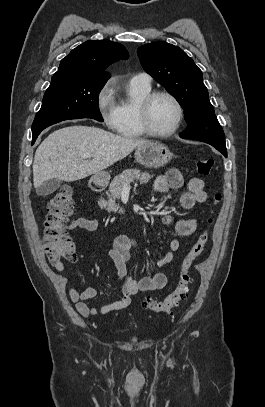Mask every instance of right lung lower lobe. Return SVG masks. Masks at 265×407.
<instances>
[{"label":"right lung lower lobe","mask_w":265,"mask_h":407,"mask_svg":"<svg viewBox=\"0 0 265 407\" xmlns=\"http://www.w3.org/2000/svg\"><path fill=\"white\" fill-rule=\"evenodd\" d=\"M35 140H36V138H35V137H33L32 144L35 142Z\"/></svg>","instance_id":"obj_1"}]
</instances>
